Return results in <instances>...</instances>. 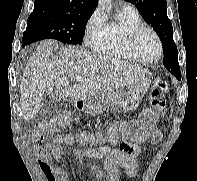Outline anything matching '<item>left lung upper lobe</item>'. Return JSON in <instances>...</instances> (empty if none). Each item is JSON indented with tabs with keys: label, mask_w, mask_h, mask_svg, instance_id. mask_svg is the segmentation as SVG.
<instances>
[{
	"label": "left lung upper lobe",
	"mask_w": 197,
	"mask_h": 181,
	"mask_svg": "<svg viewBox=\"0 0 197 181\" xmlns=\"http://www.w3.org/2000/svg\"><path fill=\"white\" fill-rule=\"evenodd\" d=\"M135 4L143 19L158 34L164 51L163 65L171 74L180 77L178 51L173 40V27L166 13V0H126Z\"/></svg>",
	"instance_id": "left-lung-upper-lobe-1"
}]
</instances>
